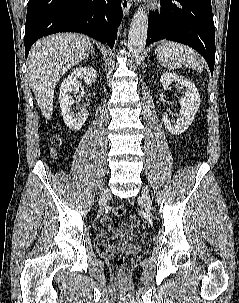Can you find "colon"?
I'll return each instance as SVG.
<instances>
[{
  "instance_id": "5ec220e1",
  "label": "colon",
  "mask_w": 239,
  "mask_h": 303,
  "mask_svg": "<svg viewBox=\"0 0 239 303\" xmlns=\"http://www.w3.org/2000/svg\"><path fill=\"white\" fill-rule=\"evenodd\" d=\"M53 142L56 145L59 143V139L57 137H55L53 139ZM124 213H125V209L123 206L118 205L113 208V214L117 217L123 216ZM123 265H124V257L122 255H120L117 259V267L122 268Z\"/></svg>"
}]
</instances>
